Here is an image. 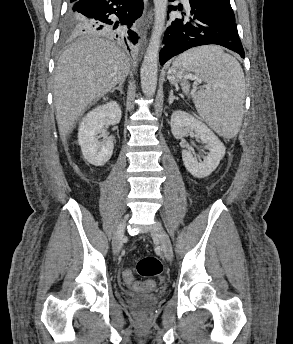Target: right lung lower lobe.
Listing matches in <instances>:
<instances>
[{"instance_id":"98d812e1","label":"right lung lower lobe","mask_w":293,"mask_h":344,"mask_svg":"<svg viewBox=\"0 0 293 344\" xmlns=\"http://www.w3.org/2000/svg\"><path fill=\"white\" fill-rule=\"evenodd\" d=\"M70 11L87 19L80 33L99 31L126 44L137 43L130 26L142 15L143 0H76Z\"/></svg>"}]
</instances>
